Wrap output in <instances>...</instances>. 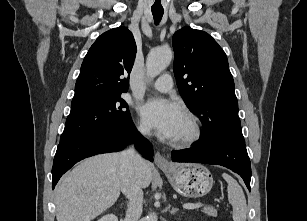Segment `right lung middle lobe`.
Returning a JSON list of instances; mask_svg holds the SVG:
<instances>
[{
    "mask_svg": "<svg viewBox=\"0 0 307 221\" xmlns=\"http://www.w3.org/2000/svg\"><path fill=\"white\" fill-rule=\"evenodd\" d=\"M60 141L115 126L131 119L121 94L71 103Z\"/></svg>",
    "mask_w": 307,
    "mask_h": 221,
    "instance_id": "obj_1",
    "label": "right lung middle lobe"
}]
</instances>
